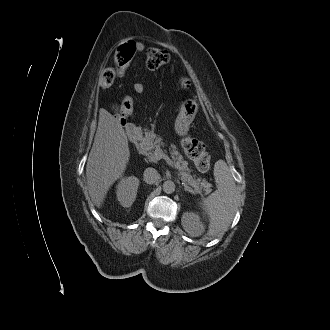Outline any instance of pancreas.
<instances>
[{
  "instance_id": "obj_1",
  "label": "pancreas",
  "mask_w": 330,
  "mask_h": 330,
  "mask_svg": "<svg viewBox=\"0 0 330 330\" xmlns=\"http://www.w3.org/2000/svg\"><path fill=\"white\" fill-rule=\"evenodd\" d=\"M164 143L162 138L154 133L147 132L146 136L141 143V152L144 154L150 162H156L155 150L163 147ZM170 154L175 161L176 168L178 169V175L188 185L192 186L196 193L205 191V193L211 192L212 184L207 182L201 177L196 178L195 175H191V170L188 168V162L183 159V156L176 150V146L172 145L170 148Z\"/></svg>"
}]
</instances>
